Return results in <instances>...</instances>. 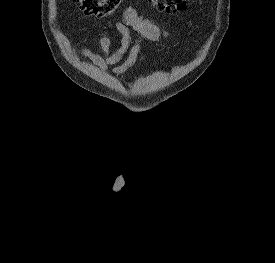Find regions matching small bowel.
<instances>
[{"label": "small bowel", "instance_id": "c3829d8e", "mask_svg": "<svg viewBox=\"0 0 275 263\" xmlns=\"http://www.w3.org/2000/svg\"><path fill=\"white\" fill-rule=\"evenodd\" d=\"M116 29L121 35V44L115 52L110 51L111 39L107 31L100 36L101 54L95 53L85 46L80 50L101 71L110 70L114 76L125 74L135 65L144 39L158 41L166 35V32L158 24L142 18L136 9L130 6L123 10V20L116 23ZM131 29L136 33L132 46H130Z\"/></svg>", "mask_w": 275, "mask_h": 263}]
</instances>
